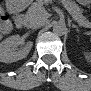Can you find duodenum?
<instances>
[{
	"label": "duodenum",
	"instance_id": "410a0bca",
	"mask_svg": "<svg viewBox=\"0 0 91 91\" xmlns=\"http://www.w3.org/2000/svg\"><path fill=\"white\" fill-rule=\"evenodd\" d=\"M24 23H25L24 18L22 17L21 14H18L15 20V27L20 30L24 27Z\"/></svg>",
	"mask_w": 91,
	"mask_h": 91
}]
</instances>
